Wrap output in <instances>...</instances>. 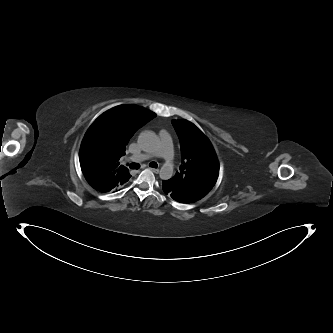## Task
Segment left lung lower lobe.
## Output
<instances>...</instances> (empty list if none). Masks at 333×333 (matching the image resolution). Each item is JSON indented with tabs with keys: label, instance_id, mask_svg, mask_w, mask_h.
<instances>
[{
	"label": "left lung lower lobe",
	"instance_id": "obj_1",
	"mask_svg": "<svg viewBox=\"0 0 333 333\" xmlns=\"http://www.w3.org/2000/svg\"><path fill=\"white\" fill-rule=\"evenodd\" d=\"M162 190H163V192L167 196L171 197L172 199H174L177 202L186 203V204L193 203L192 201H190V200L186 199L185 197H183L177 191L171 190V186H170V181L169 180H163L162 181Z\"/></svg>",
	"mask_w": 333,
	"mask_h": 333
}]
</instances>
